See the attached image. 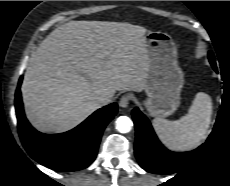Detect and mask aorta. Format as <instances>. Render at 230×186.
<instances>
[{
    "label": "aorta",
    "mask_w": 230,
    "mask_h": 186,
    "mask_svg": "<svg viewBox=\"0 0 230 186\" xmlns=\"http://www.w3.org/2000/svg\"><path fill=\"white\" fill-rule=\"evenodd\" d=\"M115 126L120 133H127L132 129L133 123L129 117L120 116L116 119Z\"/></svg>",
    "instance_id": "762f6f07"
}]
</instances>
